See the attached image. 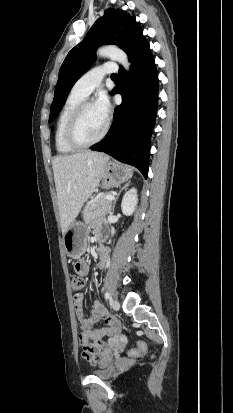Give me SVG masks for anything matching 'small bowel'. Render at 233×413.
Listing matches in <instances>:
<instances>
[{
  "instance_id": "obj_1",
  "label": "small bowel",
  "mask_w": 233,
  "mask_h": 413,
  "mask_svg": "<svg viewBox=\"0 0 233 413\" xmlns=\"http://www.w3.org/2000/svg\"><path fill=\"white\" fill-rule=\"evenodd\" d=\"M99 221L93 222V227L99 229ZM99 256H104V265L107 262L108 250L105 246L98 247ZM73 268L78 274L85 276L89 271L87 262L80 260L73 263ZM74 309L77 315L79 326L82 332L79 335V341L82 348V356L92 365L105 366L113 356L118 347L119 341L117 334L120 326L117 318L112 315L99 301L92 304V310L89 318H86L83 311L84 294L77 292L74 294ZM103 321L104 325L94 328V325ZM104 338H108L104 341Z\"/></svg>"
}]
</instances>
